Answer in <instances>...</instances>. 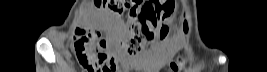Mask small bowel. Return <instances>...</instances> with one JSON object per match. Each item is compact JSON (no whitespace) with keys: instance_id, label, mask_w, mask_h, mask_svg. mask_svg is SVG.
<instances>
[{"instance_id":"small-bowel-1","label":"small bowel","mask_w":267,"mask_h":72,"mask_svg":"<svg viewBox=\"0 0 267 72\" xmlns=\"http://www.w3.org/2000/svg\"><path fill=\"white\" fill-rule=\"evenodd\" d=\"M172 21V18H169L165 21V24L170 25ZM107 23L111 24L112 18L108 17ZM84 30L86 32H90L92 29L90 27H85ZM90 39L94 45L101 40L97 34H95L94 37H90ZM76 47L77 44L74 42L72 44V48L80 64L86 69V71L93 72L90 67L81 61L80 55L76 51ZM178 48L179 42L166 39L162 44H153L149 47V49L131 55H127L124 52L117 50L116 55L112 57L116 64L119 60L137 70L157 72L171 62Z\"/></svg>"}]
</instances>
